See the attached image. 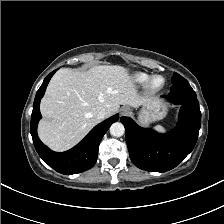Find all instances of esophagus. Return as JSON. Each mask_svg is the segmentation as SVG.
<instances>
[{"label":"esophagus","instance_id":"esophagus-1","mask_svg":"<svg viewBox=\"0 0 224 224\" xmlns=\"http://www.w3.org/2000/svg\"><path fill=\"white\" fill-rule=\"evenodd\" d=\"M119 113L121 116L127 115L130 113V108L127 106H124L120 109Z\"/></svg>","mask_w":224,"mask_h":224}]
</instances>
